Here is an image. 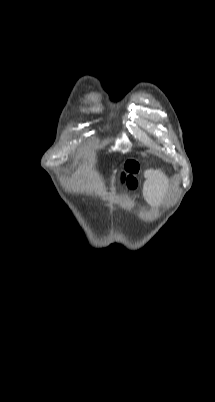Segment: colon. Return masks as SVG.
Wrapping results in <instances>:
<instances>
[{
	"mask_svg": "<svg viewBox=\"0 0 215 402\" xmlns=\"http://www.w3.org/2000/svg\"><path fill=\"white\" fill-rule=\"evenodd\" d=\"M137 172H138L137 162L135 160H127L124 164V169L120 174V181L122 183H126L128 188L136 189L137 180L135 178V174Z\"/></svg>",
	"mask_w": 215,
	"mask_h": 402,
	"instance_id": "5ec220e1",
	"label": "colon"
}]
</instances>
